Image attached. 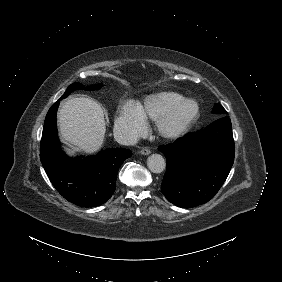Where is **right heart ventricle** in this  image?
<instances>
[{"mask_svg":"<svg viewBox=\"0 0 282 282\" xmlns=\"http://www.w3.org/2000/svg\"><path fill=\"white\" fill-rule=\"evenodd\" d=\"M182 100V97L173 93H162L151 97L141 109L145 117L160 119L173 105Z\"/></svg>","mask_w":282,"mask_h":282,"instance_id":"e07e8e85","label":"right heart ventricle"}]
</instances>
